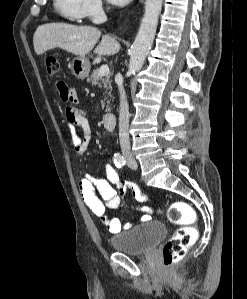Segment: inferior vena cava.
I'll list each match as a JSON object with an SVG mask.
<instances>
[{
    "mask_svg": "<svg viewBox=\"0 0 247 299\" xmlns=\"http://www.w3.org/2000/svg\"><path fill=\"white\" fill-rule=\"evenodd\" d=\"M117 85L120 94V109H119V140L122 153L130 152L129 139V106L126 98V93L123 87V81L120 79V74L117 75Z\"/></svg>",
    "mask_w": 247,
    "mask_h": 299,
    "instance_id": "inferior-vena-cava-1",
    "label": "inferior vena cava"
}]
</instances>
